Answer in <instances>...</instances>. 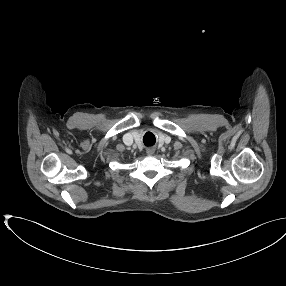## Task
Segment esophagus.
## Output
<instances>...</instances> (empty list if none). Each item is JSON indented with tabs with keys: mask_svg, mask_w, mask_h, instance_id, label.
<instances>
[{
	"mask_svg": "<svg viewBox=\"0 0 286 286\" xmlns=\"http://www.w3.org/2000/svg\"><path fill=\"white\" fill-rule=\"evenodd\" d=\"M154 152H155V150H154L153 148H148V149L146 150V153H147V155H149V156L153 155Z\"/></svg>",
	"mask_w": 286,
	"mask_h": 286,
	"instance_id": "34e87169",
	"label": "esophagus"
}]
</instances>
